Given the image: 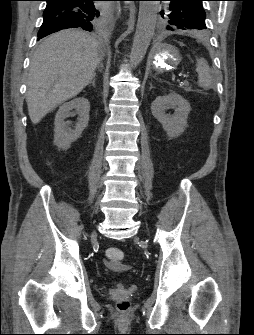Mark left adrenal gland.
Instances as JSON below:
<instances>
[{"mask_svg":"<svg viewBox=\"0 0 254 335\" xmlns=\"http://www.w3.org/2000/svg\"><path fill=\"white\" fill-rule=\"evenodd\" d=\"M153 87H152V84L150 83V90L152 89Z\"/></svg>","mask_w":254,"mask_h":335,"instance_id":"left-adrenal-gland-1","label":"left adrenal gland"}]
</instances>
